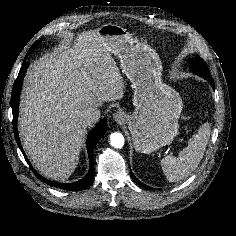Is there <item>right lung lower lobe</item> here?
I'll list each match as a JSON object with an SVG mask.
<instances>
[{
	"label": "right lung lower lobe",
	"mask_w": 236,
	"mask_h": 236,
	"mask_svg": "<svg viewBox=\"0 0 236 236\" xmlns=\"http://www.w3.org/2000/svg\"><path fill=\"white\" fill-rule=\"evenodd\" d=\"M28 55L29 54L26 55L25 60H26ZM28 66H29V63L24 62V64L22 65V67L20 69L18 77H17V79L14 83V86H13V89H12V94H11V107H12V113H13V130H14V135H15L16 142H17L20 150L22 151L26 161L28 162L30 168L32 169V171L34 172V174L36 175V177L38 179L44 181L45 183L53 185L57 188H60V189L73 190V191L83 190V189L87 188L93 182V177H94V166H93L94 146L99 141V139L105 134V132L107 131L106 119L104 118L91 131V133L88 135L87 150H88V156H89V159H90V169H89L88 174L83 179H81L77 182H73V183L62 184V183H57V182H54V181L47 180L44 177H42L40 174H38L35 171V169L30 164L29 160L27 159V157H26V155L23 151V148L20 144V139H19L18 130H17L19 96H20V93H21V87H22L24 75H25V72H26Z\"/></svg>",
	"instance_id": "98d812e1"
}]
</instances>
